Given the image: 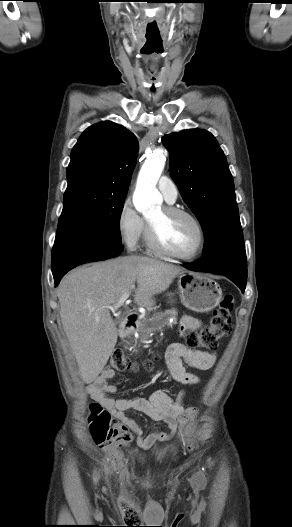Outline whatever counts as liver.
Returning a JSON list of instances; mask_svg holds the SVG:
<instances>
[{"mask_svg": "<svg viewBox=\"0 0 292 527\" xmlns=\"http://www.w3.org/2000/svg\"><path fill=\"white\" fill-rule=\"evenodd\" d=\"M183 271L173 264L131 255L78 267L61 280L58 298L62 326L84 383L98 377L117 342L109 307L134 290V302L150 308L154 296L167 290Z\"/></svg>", "mask_w": 292, "mask_h": 527, "instance_id": "obj_1", "label": "liver"}]
</instances>
